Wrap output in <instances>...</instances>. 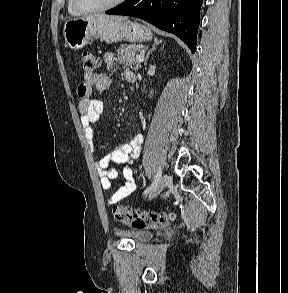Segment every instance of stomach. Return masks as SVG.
Masks as SVG:
<instances>
[{
	"label": "stomach",
	"instance_id": "1",
	"mask_svg": "<svg viewBox=\"0 0 288 293\" xmlns=\"http://www.w3.org/2000/svg\"><path fill=\"white\" fill-rule=\"evenodd\" d=\"M63 34L65 44L72 50L82 49L94 38H100L107 43L122 40L137 43L152 38L151 30L144 25L101 16L68 19L64 24Z\"/></svg>",
	"mask_w": 288,
	"mask_h": 293
}]
</instances>
